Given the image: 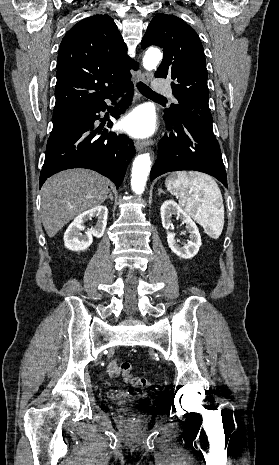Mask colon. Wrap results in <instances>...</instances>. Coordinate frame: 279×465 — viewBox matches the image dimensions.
<instances>
[{
  "instance_id": "1",
  "label": "colon",
  "mask_w": 279,
  "mask_h": 465,
  "mask_svg": "<svg viewBox=\"0 0 279 465\" xmlns=\"http://www.w3.org/2000/svg\"><path fill=\"white\" fill-rule=\"evenodd\" d=\"M121 372L122 375L127 383L134 387H146L150 385V381L143 378V377H136L133 376V368L132 365L125 361L121 364Z\"/></svg>"
}]
</instances>
